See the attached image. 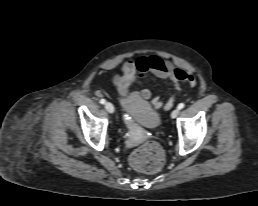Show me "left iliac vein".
<instances>
[{"mask_svg": "<svg viewBox=\"0 0 258 206\" xmlns=\"http://www.w3.org/2000/svg\"><path fill=\"white\" fill-rule=\"evenodd\" d=\"M178 114H179V109L177 108L172 111L171 118H176L178 116Z\"/></svg>", "mask_w": 258, "mask_h": 206, "instance_id": "1", "label": "left iliac vein"}]
</instances>
